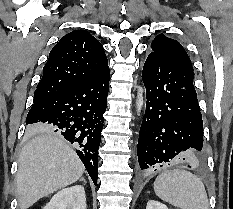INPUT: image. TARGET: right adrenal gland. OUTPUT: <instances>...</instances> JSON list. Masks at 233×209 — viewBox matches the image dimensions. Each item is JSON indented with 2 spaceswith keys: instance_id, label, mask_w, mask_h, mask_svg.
Here are the masks:
<instances>
[{
  "instance_id": "right-adrenal-gland-1",
  "label": "right adrenal gland",
  "mask_w": 233,
  "mask_h": 209,
  "mask_svg": "<svg viewBox=\"0 0 233 209\" xmlns=\"http://www.w3.org/2000/svg\"><path fill=\"white\" fill-rule=\"evenodd\" d=\"M80 181H83L86 184V180L82 177Z\"/></svg>"
}]
</instances>
